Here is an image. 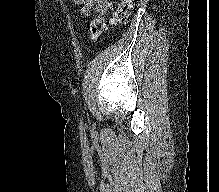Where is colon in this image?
Returning <instances> with one entry per match:
<instances>
[{"instance_id":"obj_1","label":"colon","mask_w":219,"mask_h":192,"mask_svg":"<svg viewBox=\"0 0 219 192\" xmlns=\"http://www.w3.org/2000/svg\"><path fill=\"white\" fill-rule=\"evenodd\" d=\"M133 4L134 0H121L110 19L104 16L93 19L90 25L91 38L98 40L102 32L113 23L124 24Z\"/></svg>"}]
</instances>
